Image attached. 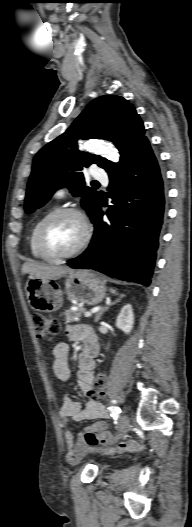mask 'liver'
Listing matches in <instances>:
<instances>
[{
	"mask_svg": "<svg viewBox=\"0 0 192 527\" xmlns=\"http://www.w3.org/2000/svg\"><path fill=\"white\" fill-rule=\"evenodd\" d=\"M73 272L66 266L48 265L39 262H25L22 265V273L30 274V277L57 280L63 275Z\"/></svg>",
	"mask_w": 192,
	"mask_h": 527,
	"instance_id": "1",
	"label": "liver"
}]
</instances>
